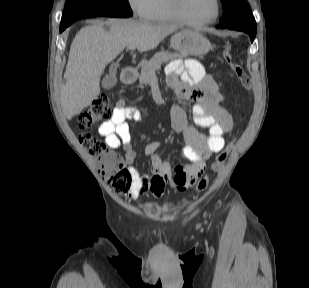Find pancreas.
<instances>
[{
    "mask_svg": "<svg viewBox=\"0 0 309 288\" xmlns=\"http://www.w3.org/2000/svg\"><path fill=\"white\" fill-rule=\"evenodd\" d=\"M184 56L169 53L167 51L157 52L149 61L141 65V73L139 77V83L141 85L149 83L151 77L155 71L160 68L162 63H168L174 59H182Z\"/></svg>",
    "mask_w": 309,
    "mask_h": 288,
    "instance_id": "1",
    "label": "pancreas"
}]
</instances>
